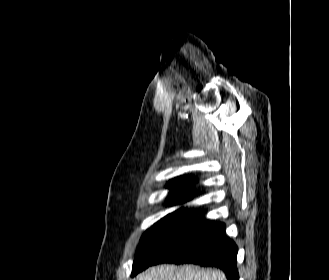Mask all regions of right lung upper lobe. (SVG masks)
Segmentation results:
<instances>
[{
  "label": "right lung upper lobe",
  "mask_w": 329,
  "mask_h": 280,
  "mask_svg": "<svg viewBox=\"0 0 329 280\" xmlns=\"http://www.w3.org/2000/svg\"><path fill=\"white\" fill-rule=\"evenodd\" d=\"M195 178L183 175L172 179L167 187L170 190L169 199L179 198V199H191L193 192L192 187L194 186Z\"/></svg>",
  "instance_id": "cb5924a9"
}]
</instances>
